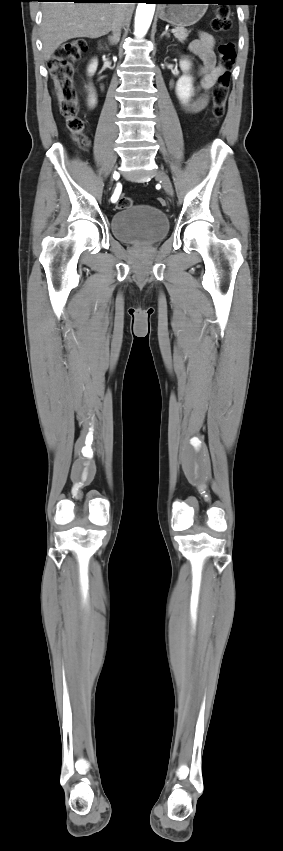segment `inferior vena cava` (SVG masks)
Returning <instances> with one entry per match:
<instances>
[{
    "label": "inferior vena cava",
    "instance_id": "1",
    "mask_svg": "<svg viewBox=\"0 0 283 851\" xmlns=\"http://www.w3.org/2000/svg\"><path fill=\"white\" fill-rule=\"evenodd\" d=\"M124 23H125V10L120 11L118 13V15H117V17H116V19L113 23L112 32H113V37L115 39L120 37L121 29H122V26L124 25Z\"/></svg>",
    "mask_w": 283,
    "mask_h": 851
}]
</instances>
